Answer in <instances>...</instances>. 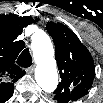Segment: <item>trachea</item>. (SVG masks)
Instances as JSON below:
<instances>
[{
	"mask_svg": "<svg viewBox=\"0 0 103 103\" xmlns=\"http://www.w3.org/2000/svg\"><path fill=\"white\" fill-rule=\"evenodd\" d=\"M17 64L21 67L27 68L32 64V57L28 49H25L19 56Z\"/></svg>",
	"mask_w": 103,
	"mask_h": 103,
	"instance_id": "1",
	"label": "trachea"
}]
</instances>
